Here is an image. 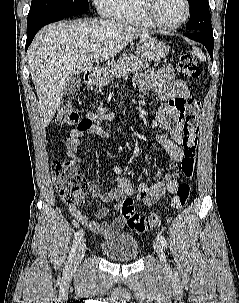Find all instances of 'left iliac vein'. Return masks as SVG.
Masks as SVG:
<instances>
[{"mask_svg":"<svg viewBox=\"0 0 239 303\" xmlns=\"http://www.w3.org/2000/svg\"><path fill=\"white\" fill-rule=\"evenodd\" d=\"M154 246V249L158 255V258L161 262V264L163 265V267L165 269H169V266H168V263H167V260H166V256H165V252H164V249H163V246L161 245V243L156 240L153 244Z\"/></svg>","mask_w":239,"mask_h":303,"instance_id":"obj_1","label":"left iliac vein"}]
</instances>
